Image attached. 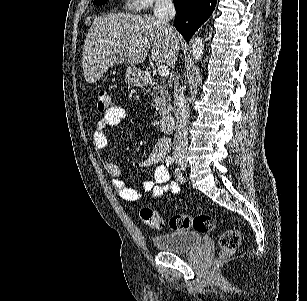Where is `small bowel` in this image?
Instances as JSON below:
<instances>
[{"mask_svg": "<svg viewBox=\"0 0 307 301\" xmlns=\"http://www.w3.org/2000/svg\"><path fill=\"white\" fill-rule=\"evenodd\" d=\"M126 116V110L121 106H111L97 122L92 135V141L95 148L105 153L107 148L106 128L109 126L119 125ZM169 142L167 140H160L152 148L148 157L142 162L143 166H153V176L146 180L142 188L137 191L127 187L125 182L121 179V169L115 163L109 161L104 155L105 169L109 176L113 179V186L118 195L126 201H136L141 197L150 194L151 197L157 198L171 192L173 194L180 193V186L176 182H170V175L168 169L163 164V161L169 151Z\"/></svg>", "mask_w": 307, "mask_h": 301, "instance_id": "c3829d8e", "label": "small bowel"}]
</instances>
